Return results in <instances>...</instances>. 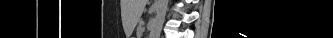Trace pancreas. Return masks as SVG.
<instances>
[{"mask_svg": "<svg viewBox=\"0 0 333 38\" xmlns=\"http://www.w3.org/2000/svg\"><path fill=\"white\" fill-rule=\"evenodd\" d=\"M138 30L140 31V33H142L143 32V25H140Z\"/></svg>", "mask_w": 333, "mask_h": 38, "instance_id": "cf45deb5", "label": "pancreas"}]
</instances>
